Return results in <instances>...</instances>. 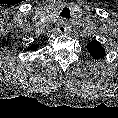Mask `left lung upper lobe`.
Segmentation results:
<instances>
[{"mask_svg": "<svg viewBox=\"0 0 118 118\" xmlns=\"http://www.w3.org/2000/svg\"><path fill=\"white\" fill-rule=\"evenodd\" d=\"M87 50L94 59H100V58H103L105 56V49L96 40H92L87 45Z\"/></svg>", "mask_w": 118, "mask_h": 118, "instance_id": "left-lung-upper-lobe-1", "label": "left lung upper lobe"}]
</instances>
